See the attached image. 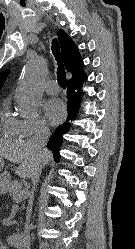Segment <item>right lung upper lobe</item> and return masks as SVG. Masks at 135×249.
Segmentation results:
<instances>
[{
    "mask_svg": "<svg viewBox=\"0 0 135 249\" xmlns=\"http://www.w3.org/2000/svg\"><path fill=\"white\" fill-rule=\"evenodd\" d=\"M57 36L59 39L65 68L72 74V78L70 80L81 78L85 74L83 72L84 64L78 48L76 47L70 36H68L62 29L57 30ZM8 72V70H5L0 73V89L5 82Z\"/></svg>",
    "mask_w": 135,
    "mask_h": 249,
    "instance_id": "right-lung-upper-lobe-1",
    "label": "right lung upper lobe"
}]
</instances>
